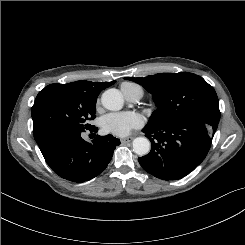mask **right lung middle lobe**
Masks as SVG:
<instances>
[{
	"instance_id": "dd1d6c3e",
	"label": "right lung middle lobe",
	"mask_w": 245,
	"mask_h": 245,
	"mask_svg": "<svg viewBox=\"0 0 245 245\" xmlns=\"http://www.w3.org/2000/svg\"><path fill=\"white\" fill-rule=\"evenodd\" d=\"M97 96L69 84H50L41 90L32 106L36 142L54 131L91 130L88 121L95 116Z\"/></svg>"
}]
</instances>
